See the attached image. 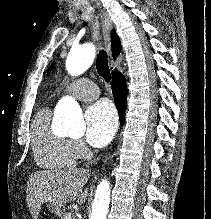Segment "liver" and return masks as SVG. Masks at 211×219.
Masks as SVG:
<instances>
[{"mask_svg": "<svg viewBox=\"0 0 211 219\" xmlns=\"http://www.w3.org/2000/svg\"><path fill=\"white\" fill-rule=\"evenodd\" d=\"M89 178L88 170L68 168L35 172L27 182L26 200L33 219H38L43 203L64 205L76 200L83 204L88 190L83 187Z\"/></svg>", "mask_w": 211, "mask_h": 219, "instance_id": "6515ba94", "label": "liver"}]
</instances>
